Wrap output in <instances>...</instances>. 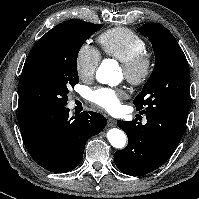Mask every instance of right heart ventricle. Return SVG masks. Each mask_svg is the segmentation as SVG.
I'll use <instances>...</instances> for the list:
<instances>
[{"mask_svg":"<svg viewBox=\"0 0 199 199\" xmlns=\"http://www.w3.org/2000/svg\"><path fill=\"white\" fill-rule=\"evenodd\" d=\"M104 53L121 62L146 50L145 41L128 28L117 27L103 32L99 38Z\"/></svg>","mask_w":199,"mask_h":199,"instance_id":"right-heart-ventricle-1","label":"right heart ventricle"}]
</instances>
